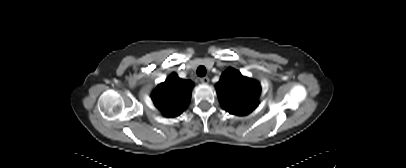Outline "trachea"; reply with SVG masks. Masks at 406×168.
I'll return each mask as SVG.
<instances>
[{
  "label": "trachea",
  "instance_id": "obj_1",
  "mask_svg": "<svg viewBox=\"0 0 406 168\" xmlns=\"http://www.w3.org/2000/svg\"><path fill=\"white\" fill-rule=\"evenodd\" d=\"M197 75L199 77H204L206 75V68L204 66H199L197 69Z\"/></svg>",
  "mask_w": 406,
  "mask_h": 168
}]
</instances>
